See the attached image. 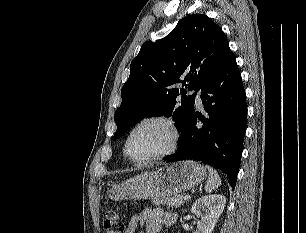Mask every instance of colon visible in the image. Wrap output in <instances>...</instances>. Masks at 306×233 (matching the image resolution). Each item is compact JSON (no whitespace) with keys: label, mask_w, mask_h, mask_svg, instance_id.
Masks as SVG:
<instances>
[{"label":"colon","mask_w":306,"mask_h":233,"mask_svg":"<svg viewBox=\"0 0 306 233\" xmlns=\"http://www.w3.org/2000/svg\"><path fill=\"white\" fill-rule=\"evenodd\" d=\"M105 233H124L123 220L113 211H108L103 220Z\"/></svg>","instance_id":"obj_1"}]
</instances>
